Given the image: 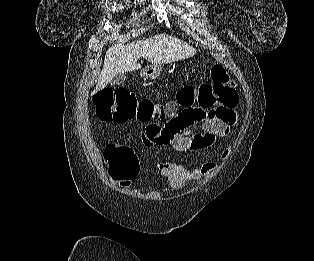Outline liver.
Segmentation results:
<instances>
[{"mask_svg":"<svg viewBox=\"0 0 314 261\" xmlns=\"http://www.w3.org/2000/svg\"><path fill=\"white\" fill-rule=\"evenodd\" d=\"M196 49L186 42L167 34L155 35L146 40H137L128 45L115 44L108 48L104 65L91 95L104 89L115 75L141 68L140 57L152 65H162L193 56Z\"/></svg>","mask_w":314,"mask_h":261,"instance_id":"obj_1","label":"liver"}]
</instances>
